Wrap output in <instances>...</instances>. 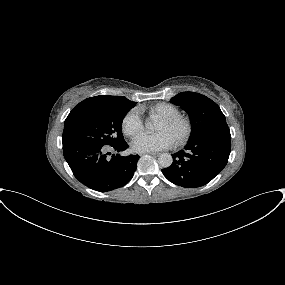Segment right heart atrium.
Wrapping results in <instances>:
<instances>
[{"label": "right heart atrium", "mask_w": 285, "mask_h": 285, "mask_svg": "<svg viewBox=\"0 0 285 285\" xmlns=\"http://www.w3.org/2000/svg\"><path fill=\"white\" fill-rule=\"evenodd\" d=\"M143 129V124L137 109L130 110L122 121V130L126 136L133 137Z\"/></svg>", "instance_id": "right-heart-atrium-1"}]
</instances>
